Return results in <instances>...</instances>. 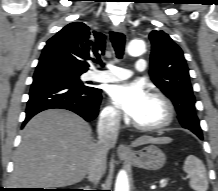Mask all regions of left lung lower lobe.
Instances as JSON below:
<instances>
[{
    "instance_id": "obj_1",
    "label": "left lung lower lobe",
    "mask_w": 218,
    "mask_h": 191,
    "mask_svg": "<svg viewBox=\"0 0 218 191\" xmlns=\"http://www.w3.org/2000/svg\"><path fill=\"white\" fill-rule=\"evenodd\" d=\"M200 139H203L202 135H197Z\"/></svg>"
}]
</instances>
